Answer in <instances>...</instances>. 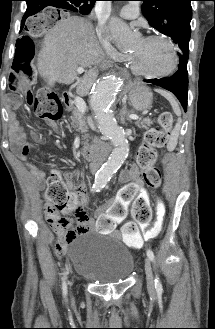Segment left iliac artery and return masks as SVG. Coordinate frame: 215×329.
I'll list each match as a JSON object with an SVG mask.
<instances>
[{
    "label": "left iliac artery",
    "mask_w": 215,
    "mask_h": 329,
    "mask_svg": "<svg viewBox=\"0 0 215 329\" xmlns=\"http://www.w3.org/2000/svg\"><path fill=\"white\" fill-rule=\"evenodd\" d=\"M147 256L149 257V259L151 261H154L155 256H154V253L152 250H150V249L147 250ZM155 288L158 292L163 290L161 281L158 276H156V278H155Z\"/></svg>",
    "instance_id": "44dca946"
}]
</instances>
